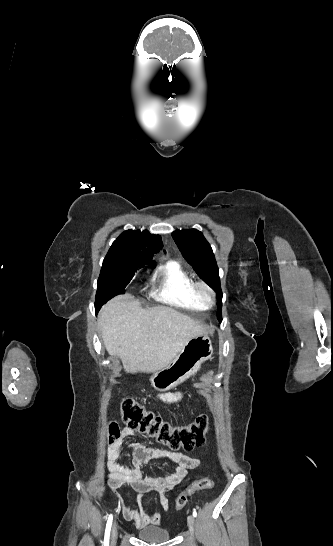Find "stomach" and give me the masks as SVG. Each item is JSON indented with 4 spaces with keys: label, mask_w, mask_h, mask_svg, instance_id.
I'll return each mask as SVG.
<instances>
[{
    "label": "stomach",
    "mask_w": 333,
    "mask_h": 546,
    "mask_svg": "<svg viewBox=\"0 0 333 546\" xmlns=\"http://www.w3.org/2000/svg\"><path fill=\"white\" fill-rule=\"evenodd\" d=\"M212 354L210 337L206 334L195 336L166 367L153 373L151 383L159 391H168L194 375Z\"/></svg>",
    "instance_id": "1"
}]
</instances>
